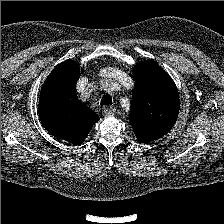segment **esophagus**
Here are the masks:
<instances>
[{
  "label": "esophagus",
  "mask_w": 224,
  "mask_h": 224,
  "mask_svg": "<svg viewBox=\"0 0 224 224\" xmlns=\"http://www.w3.org/2000/svg\"><path fill=\"white\" fill-rule=\"evenodd\" d=\"M115 112V108L114 107H105L103 110H102V114L103 116H112Z\"/></svg>",
  "instance_id": "esophagus-1"
}]
</instances>
